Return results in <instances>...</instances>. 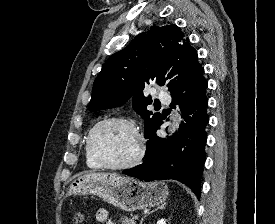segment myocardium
<instances>
[{"label":"myocardium","mask_w":275,"mask_h":224,"mask_svg":"<svg viewBox=\"0 0 275 224\" xmlns=\"http://www.w3.org/2000/svg\"><path fill=\"white\" fill-rule=\"evenodd\" d=\"M122 123L128 126L134 133L136 141H137V150L132 159L129 161L122 163V164H111L106 162L96 151L94 147V137L96 132L99 128H101L103 125L108 123ZM87 147L91 154V156L94 158V160L103 168L106 169H112V170H124L131 167L136 166L138 163L141 162L143 156H144V140L143 136L137 127V125L131 121L130 119L123 117V116H108L101 120H99L89 131L87 136Z\"/></svg>","instance_id":"myocardium-1"}]
</instances>
